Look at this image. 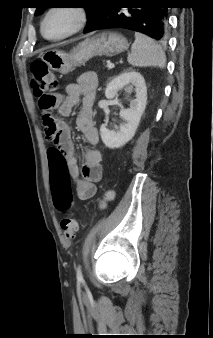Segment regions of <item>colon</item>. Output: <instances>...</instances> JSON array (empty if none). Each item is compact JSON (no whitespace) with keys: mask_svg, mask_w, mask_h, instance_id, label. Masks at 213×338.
<instances>
[{"mask_svg":"<svg viewBox=\"0 0 213 338\" xmlns=\"http://www.w3.org/2000/svg\"><path fill=\"white\" fill-rule=\"evenodd\" d=\"M32 89L38 100V107L42 115L43 123L47 131L54 135L53 141L57 143L60 134L57 131L55 119L52 115L57 99L55 93L59 89V82L46 63L42 60H35L31 63ZM53 203L59 211H66L73 202V195L70 187L66 184L64 178H58L54 181L52 187ZM113 198L112 192L105 193L100 204L102 208L106 202ZM61 229L66 239H72L78 232V222L72 214L66 215L61 220Z\"/></svg>","mask_w":213,"mask_h":338,"instance_id":"5ec220e1","label":"colon"}]
</instances>
